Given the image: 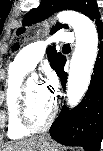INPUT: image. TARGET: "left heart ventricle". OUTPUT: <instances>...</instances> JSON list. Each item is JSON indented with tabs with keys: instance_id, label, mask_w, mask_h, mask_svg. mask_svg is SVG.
Masks as SVG:
<instances>
[{
	"instance_id": "1",
	"label": "left heart ventricle",
	"mask_w": 103,
	"mask_h": 151,
	"mask_svg": "<svg viewBox=\"0 0 103 151\" xmlns=\"http://www.w3.org/2000/svg\"><path fill=\"white\" fill-rule=\"evenodd\" d=\"M53 100L49 98L41 85L36 81L28 83V107L29 116L32 122L41 125L48 119Z\"/></svg>"
}]
</instances>
